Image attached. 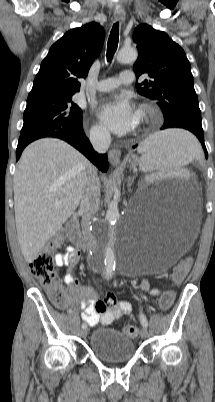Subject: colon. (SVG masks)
<instances>
[{
	"label": "colon",
	"mask_w": 215,
	"mask_h": 402,
	"mask_svg": "<svg viewBox=\"0 0 215 402\" xmlns=\"http://www.w3.org/2000/svg\"><path fill=\"white\" fill-rule=\"evenodd\" d=\"M62 243L61 235H56L47 244L45 250L35 257L30 263V269L34 277L48 290L53 304L63 308L66 297L54 268L53 251ZM189 258H194V253H189ZM190 267V260L181 262L173 272V280L176 283L182 281ZM175 294L173 291H165L159 298L158 304L162 310H168L174 302ZM124 334L130 338L138 335V328L135 325H128L123 330Z\"/></svg>",
	"instance_id": "colon-1"
}]
</instances>
